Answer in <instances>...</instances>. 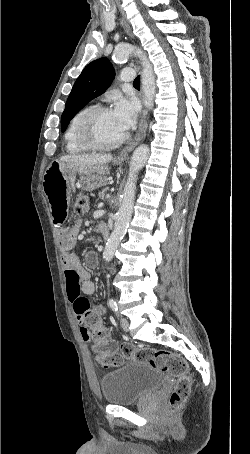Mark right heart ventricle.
I'll return each mask as SVG.
<instances>
[{"label": "right heart ventricle", "instance_id": "e07e8e85", "mask_svg": "<svg viewBox=\"0 0 250 454\" xmlns=\"http://www.w3.org/2000/svg\"><path fill=\"white\" fill-rule=\"evenodd\" d=\"M91 107H85L81 110H79L71 119L65 133H64V141H65V148L66 151L72 154H77V153H82L87 151L88 149L84 146H82L76 137V130H77V125L81 119V117L88 111L90 110Z\"/></svg>", "mask_w": 250, "mask_h": 454}]
</instances>
